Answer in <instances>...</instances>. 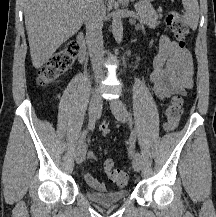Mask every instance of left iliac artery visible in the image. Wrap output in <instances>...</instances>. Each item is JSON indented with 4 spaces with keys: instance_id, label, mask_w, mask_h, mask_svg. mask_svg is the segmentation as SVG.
<instances>
[{
    "instance_id": "obj_1",
    "label": "left iliac artery",
    "mask_w": 216,
    "mask_h": 217,
    "mask_svg": "<svg viewBox=\"0 0 216 217\" xmlns=\"http://www.w3.org/2000/svg\"><path fill=\"white\" fill-rule=\"evenodd\" d=\"M129 115H131V113H129ZM136 136H137L136 130H133L132 133H131V137L129 139V148H128L129 155L131 157H133L135 155Z\"/></svg>"
}]
</instances>
